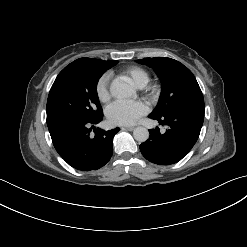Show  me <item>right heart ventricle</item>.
I'll use <instances>...</instances> for the list:
<instances>
[{
	"mask_svg": "<svg viewBox=\"0 0 247 247\" xmlns=\"http://www.w3.org/2000/svg\"><path fill=\"white\" fill-rule=\"evenodd\" d=\"M123 73L128 75L138 87H144L150 79L149 72L139 66H128L123 69Z\"/></svg>",
	"mask_w": 247,
	"mask_h": 247,
	"instance_id": "e07e8e85",
	"label": "right heart ventricle"
}]
</instances>
